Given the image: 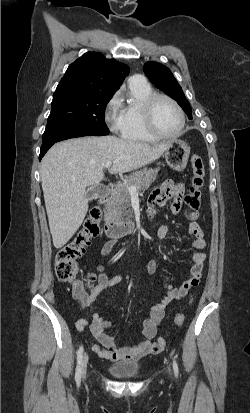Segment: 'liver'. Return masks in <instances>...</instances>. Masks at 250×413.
Wrapping results in <instances>:
<instances>
[{
    "label": "liver",
    "instance_id": "liver-1",
    "mask_svg": "<svg viewBox=\"0 0 250 413\" xmlns=\"http://www.w3.org/2000/svg\"><path fill=\"white\" fill-rule=\"evenodd\" d=\"M170 143L149 145L116 136L75 138L55 144L41 163V183L53 245L63 247L88 211L86 188L111 174L130 172L160 158Z\"/></svg>",
    "mask_w": 250,
    "mask_h": 413
}]
</instances>
